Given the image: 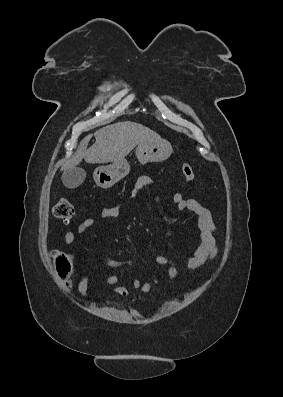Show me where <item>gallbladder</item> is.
<instances>
[{
    "label": "gallbladder",
    "instance_id": "1",
    "mask_svg": "<svg viewBox=\"0 0 283 397\" xmlns=\"http://www.w3.org/2000/svg\"><path fill=\"white\" fill-rule=\"evenodd\" d=\"M86 178V172L82 168L73 167L62 174V182L69 189L80 186Z\"/></svg>",
    "mask_w": 283,
    "mask_h": 397
}]
</instances>
